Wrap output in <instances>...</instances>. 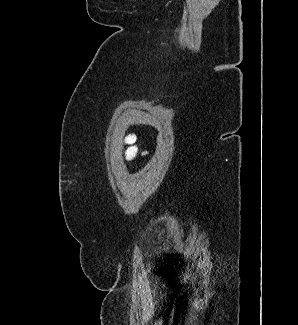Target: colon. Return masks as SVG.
<instances>
[{
    "label": "colon",
    "mask_w": 298,
    "mask_h": 325,
    "mask_svg": "<svg viewBox=\"0 0 298 325\" xmlns=\"http://www.w3.org/2000/svg\"><path fill=\"white\" fill-rule=\"evenodd\" d=\"M128 148H127V151H126V156L128 159H132L135 157L136 153H137V149L136 147L132 144L133 142V137H129L128 140Z\"/></svg>",
    "instance_id": "5ec220e1"
}]
</instances>
